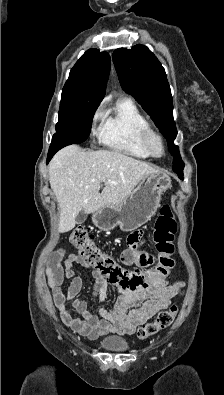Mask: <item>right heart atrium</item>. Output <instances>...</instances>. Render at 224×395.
Listing matches in <instances>:
<instances>
[{
	"mask_svg": "<svg viewBox=\"0 0 224 395\" xmlns=\"http://www.w3.org/2000/svg\"><path fill=\"white\" fill-rule=\"evenodd\" d=\"M105 117H106L105 102L102 101L97 105V107L95 108L92 114L91 126L93 133L95 134L100 133Z\"/></svg>",
	"mask_w": 224,
	"mask_h": 395,
	"instance_id": "obj_1",
	"label": "right heart atrium"
}]
</instances>
